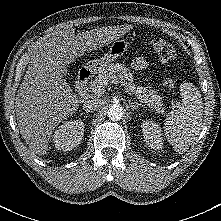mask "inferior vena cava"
<instances>
[{
  "mask_svg": "<svg viewBox=\"0 0 221 221\" xmlns=\"http://www.w3.org/2000/svg\"><path fill=\"white\" fill-rule=\"evenodd\" d=\"M102 104H103L102 100H100L97 97H94L84 103L83 109L86 112H93V111L97 110L99 107H101Z\"/></svg>",
  "mask_w": 221,
  "mask_h": 221,
  "instance_id": "602c4592",
  "label": "inferior vena cava"
}]
</instances>
